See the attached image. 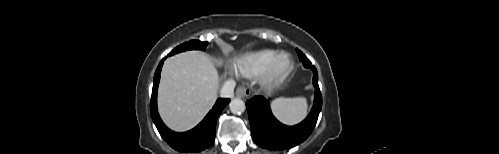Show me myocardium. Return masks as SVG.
I'll return each mask as SVG.
<instances>
[{"instance_id":"myocardium-1","label":"myocardium","mask_w":499,"mask_h":154,"mask_svg":"<svg viewBox=\"0 0 499 154\" xmlns=\"http://www.w3.org/2000/svg\"><path fill=\"white\" fill-rule=\"evenodd\" d=\"M293 67L294 63L289 54H277L262 73L261 86L268 91L275 89L290 75Z\"/></svg>"}]
</instances>
